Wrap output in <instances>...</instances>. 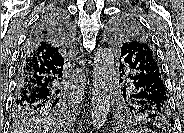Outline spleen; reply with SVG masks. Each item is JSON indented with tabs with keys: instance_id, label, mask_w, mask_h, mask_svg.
<instances>
[{
	"instance_id": "3e777b00",
	"label": "spleen",
	"mask_w": 184,
	"mask_h": 133,
	"mask_svg": "<svg viewBox=\"0 0 184 133\" xmlns=\"http://www.w3.org/2000/svg\"><path fill=\"white\" fill-rule=\"evenodd\" d=\"M131 132H133V133H143L144 131L143 130H133Z\"/></svg>"
}]
</instances>
